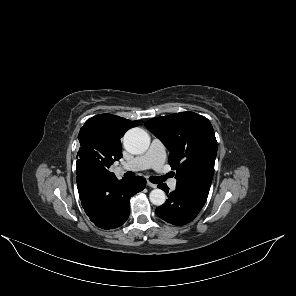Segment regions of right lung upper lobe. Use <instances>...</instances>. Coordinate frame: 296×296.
I'll return each instance as SVG.
<instances>
[{"instance_id": "cb5924a9", "label": "right lung upper lobe", "mask_w": 296, "mask_h": 296, "mask_svg": "<svg viewBox=\"0 0 296 296\" xmlns=\"http://www.w3.org/2000/svg\"><path fill=\"white\" fill-rule=\"evenodd\" d=\"M139 123V120L130 121L111 114L96 115L85 122L78 139L81 146L92 145L102 149L114 163L122 157L120 138Z\"/></svg>"}]
</instances>
